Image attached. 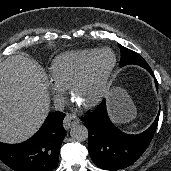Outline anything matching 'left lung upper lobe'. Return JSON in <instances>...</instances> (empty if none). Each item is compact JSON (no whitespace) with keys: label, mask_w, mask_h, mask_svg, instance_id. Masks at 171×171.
I'll return each instance as SVG.
<instances>
[{"label":"left lung upper lobe","mask_w":171,"mask_h":171,"mask_svg":"<svg viewBox=\"0 0 171 171\" xmlns=\"http://www.w3.org/2000/svg\"><path fill=\"white\" fill-rule=\"evenodd\" d=\"M119 48L121 50L120 67H123L128 64H136L144 67L145 69L150 68L147 62L138 53L120 44H119Z\"/></svg>","instance_id":"obj_1"}]
</instances>
